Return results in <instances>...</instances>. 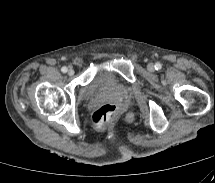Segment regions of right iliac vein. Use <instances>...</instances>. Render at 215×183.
Segmentation results:
<instances>
[{
  "instance_id": "1",
  "label": "right iliac vein",
  "mask_w": 215,
  "mask_h": 183,
  "mask_svg": "<svg viewBox=\"0 0 215 183\" xmlns=\"http://www.w3.org/2000/svg\"><path fill=\"white\" fill-rule=\"evenodd\" d=\"M67 73L69 76H73L75 74V71L73 69H69Z\"/></svg>"
}]
</instances>
